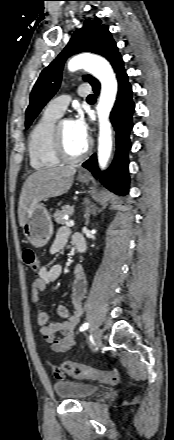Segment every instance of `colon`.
<instances>
[{
    "label": "colon",
    "mask_w": 174,
    "mask_h": 440,
    "mask_svg": "<svg viewBox=\"0 0 174 440\" xmlns=\"http://www.w3.org/2000/svg\"><path fill=\"white\" fill-rule=\"evenodd\" d=\"M23 260L32 272L39 273L41 267L32 249L27 248L23 251ZM60 368L75 377L95 379L102 383L116 384L119 380L118 374L114 371H101L71 361H64Z\"/></svg>",
    "instance_id": "obj_1"
}]
</instances>
